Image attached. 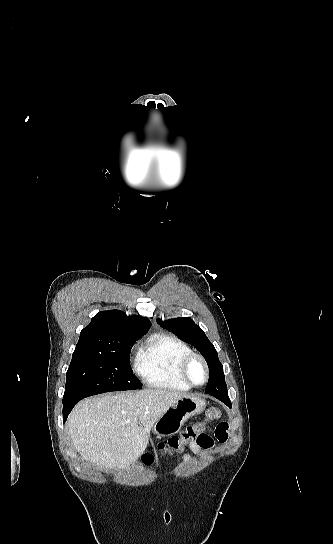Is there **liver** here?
Instances as JSON below:
<instances>
[{"label":"liver","instance_id":"liver-1","mask_svg":"<svg viewBox=\"0 0 333 544\" xmlns=\"http://www.w3.org/2000/svg\"><path fill=\"white\" fill-rule=\"evenodd\" d=\"M184 397L182 392L146 389L87 398L71 412L67 429L83 459L99 467L125 468L145 452L154 424Z\"/></svg>","mask_w":333,"mask_h":544}]
</instances>
